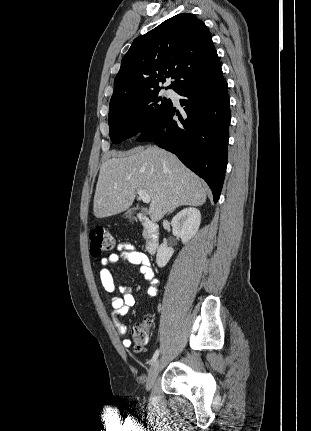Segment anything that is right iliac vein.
I'll list each match as a JSON object with an SVG mask.
<instances>
[{"instance_id": "obj_1", "label": "right iliac vein", "mask_w": 311, "mask_h": 431, "mask_svg": "<svg viewBox=\"0 0 311 431\" xmlns=\"http://www.w3.org/2000/svg\"><path fill=\"white\" fill-rule=\"evenodd\" d=\"M159 371H160V360H156L152 364V366L149 370V373H148L147 382H146V389L148 391L152 388V386H153V384H154V382L158 376Z\"/></svg>"}]
</instances>
